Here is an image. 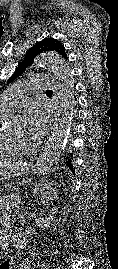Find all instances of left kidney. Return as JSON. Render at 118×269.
<instances>
[{
  "mask_svg": "<svg viewBox=\"0 0 118 269\" xmlns=\"http://www.w3.org/2000/svg\"><path fill=\"white\" fill-rule=\"evenodd\" d=\"M35 191L40 193L42 197L46 200L53 201L57 199L56 187H54L53 182H48V180H40L35 187ZM57 208L53 207L50 214L47 217H37L35 219L36 225L41 229L45 230L51 227L52 222L55 219V214L57 213Z\"/></svg>",
  "mask_w": 118,
  "mask_h": 269,
  "instance_id": "obj_1",
  "label": "left kidney"
}]
</instances>
